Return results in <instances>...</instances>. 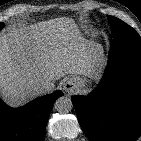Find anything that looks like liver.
<instances>
[{
    "label": "liver",
    "instance_id": "liver-1",
    "mask_svg": "<svg viewBox=\"0 0 141 141\" xmlns=\"http://www.w3.org/2000/svg\"><path fill=\"white\" fill-rule=\"evenodd\" d=\"M71 18L39 22L30 30L0 33V93L13 105L39 96L42 79L56 81L67 74L93 77L103 62V51L77 36Z\"/></svg>",
    "mask_w": 141,
    "mask_h": 141
}]
</instances>
